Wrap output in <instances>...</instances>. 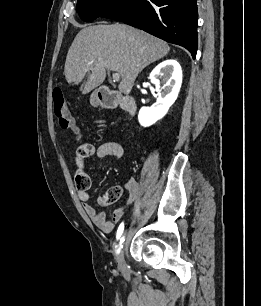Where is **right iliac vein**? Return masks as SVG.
<instances>
[{
    "label": "right iliac vein",
    "mask_w": 261,
    "mask_h": 306,
    "mask_svg": "<svg viewBox=\"0 0 261 306\" xmlns=\"http://www.w3.org/2000/svg\"><path fill=\"white\" fill-rule=\"evenodd\" d=\"M126 235H124L125 237ZM118 267L119 269L123 272V273H126L127 272V264H126V261H125V249H123L118 258Z\"/></svg>",
    "instance_id": "right-iliac-vein-1"
}]
</instances>
